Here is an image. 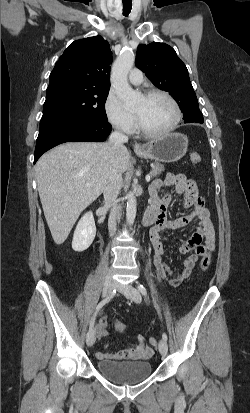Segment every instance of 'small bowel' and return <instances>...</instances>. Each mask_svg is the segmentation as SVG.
Instances as JSON below:
<instances>
[{
    "mask_svg": "<svg viewBox=\"0 0 250 413\" xmlns=\"http://www.w3.org/2000/svg\"><path fill=\"white\" fill-rule=\"evenodd\" d=\"M163 187H172L174 193L184 195V207L192 208L188 215L176 219L167 218V208L172 198V193L168 192L160 196L159 192ZM150 207L156 209L157 218L150 231V241L154 250L153 262L159 281H167L171 286L177 287L187 280L194 270L197 261L207 251L215 248V227L210 219L209 212L205 207L203 198L199 195L198 187L192 178L184 174L168 173L164 179L155 180L150 187ZM194 220L198 225L191 237L179 246V252L187 255L183 261L181 271L174 273L164 261L165 248L162 242V235L168 230L180 229ZM204 239V244H202ZM114 323V322H113ZM100 337L105 336V329L98 325ZM118 331V330H117ZM153 354V347L145 344L144 338L138 335L136 343L127 349L113 353L97 352L98 359L113 360H146Z\"/></svg>",
    "mask_w": 250,
    "mask_h": 413,
    "instance_id": "small-bowel-1",
    "label": "small bowel"
}]
</instances>
